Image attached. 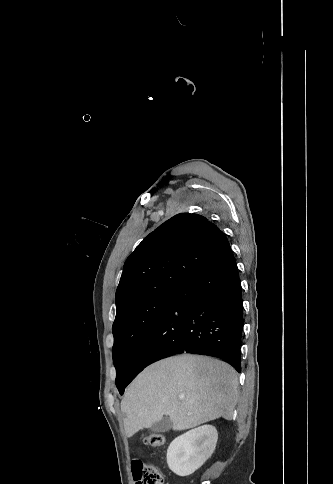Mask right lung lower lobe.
I'll return each mask as SVG.
<instances>
[{
	"instance_id": "obj_1",
	"label": "right lung lower lobe",
	"mask_w": 333,
	"mask_h": 484,
	"mask_svg": "<svg viewBox=\"0 0 333 484\" xmlns=\"http://www.w3.org/2000/svg\"><path fill=\"white\" fill-rule=\"evenodd\" d=\"M242 329L241 284L230 249L177 290L141 343L126 384L147 365L185 352L221 358L241 372Z\"/></svg>"
}]
</instances>
